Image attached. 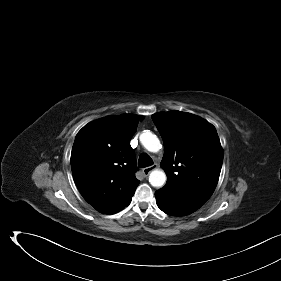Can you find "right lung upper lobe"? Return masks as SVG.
Returning <instances> with one entry per match:
<instances>
[{
	"label": "right lung upper lobe",
	"instance_id": "1",
	"mask_svg": "<svg viewBox=\"0 0 281 281\" xmlns=\"http://www.w3.org/2000/svg\"><path fill=\"white\" fill-rule=\"evenodd\" d=\"M142 116H109L85 125L71 153L75 183L97 211L113 214L128 205L139 184L129 142Z\"/></svg>",
	"mask_w": 281,
	"mask_h": 281
}]
</instances>
